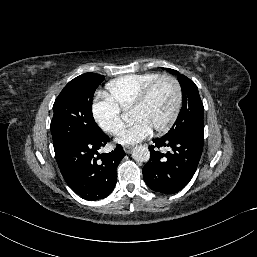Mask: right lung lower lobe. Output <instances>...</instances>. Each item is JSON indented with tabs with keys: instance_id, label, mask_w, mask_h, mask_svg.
Listing matches in <instances>:
<instances>
[{
	"instance_id": "obj_1",
	"label": "right lung lower lobe",
	"mask_w": 257,
	"mask_h": 257,
	"mask_svg": "<svg viewBox=\"0 0 257 257\" xmlns=\"http://www.w3.org/2000/svg\"><path fill=\"white\" fill-rule=\"evenodd\" d=\"M109 140L104 134L94 141L68 142L55 150L64 180L83 199H103L116 185V168L125 152L121 145H117L110 153L98 154Z\"/></svg>"
}]
</instances>
